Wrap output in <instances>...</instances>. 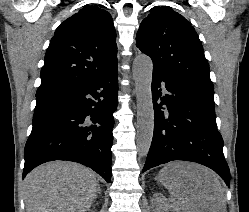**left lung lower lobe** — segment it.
Masks as SVG:
<instances>
[{"instance_id":"obj_1","label":"left lung lower lobe","mask_w":249,"mask_h":212,"mask_svg":"<svg viewBox=\"0 0 249 212\" xmlns=\"http://www.w3.org/2000/svg\"><path fill=\"white\" fill-rule=\"evenodd\" d=\"M152 98L154 133L142 172L169 161H191L213 169L229 186L214 89L154 68Z\"/></svg>"}]
</instances>
